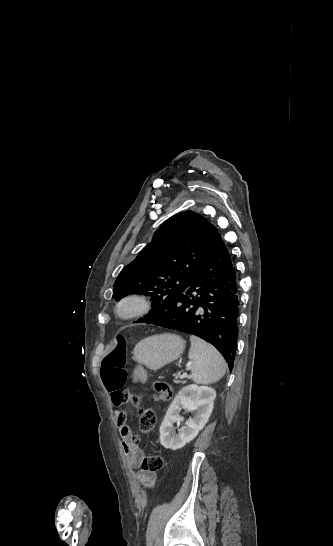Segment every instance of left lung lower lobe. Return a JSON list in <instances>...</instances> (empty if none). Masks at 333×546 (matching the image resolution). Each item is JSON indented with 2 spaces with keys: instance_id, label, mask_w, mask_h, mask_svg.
<instances>
[{
  "instance_id": "obj_1",
  "label": "left lung lower lobe",
  "mask_w": 333,
  "mask_h": 546,
  "mask_svg": "<svg viewBox=\"0 0 333 546\" xmlns=\"http://www.w3.org/2000/svg\"><path fill=\"white\" fill-rule=\"evenodd\" d=\"M239 291L231 257L220 234L185 292L153 321H138L174 329L210 342L232 370L238 335Z\"/></svg>"
}]
</instances>
